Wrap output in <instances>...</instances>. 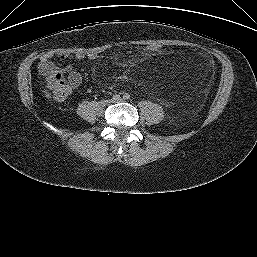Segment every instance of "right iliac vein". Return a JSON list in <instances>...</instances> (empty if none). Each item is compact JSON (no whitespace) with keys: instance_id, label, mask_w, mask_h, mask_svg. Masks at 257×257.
I'll use <instances>...</instances> for the list:
<instances>
[{"instance_id":"63e3f726","label":"right iliac vein","mask_w":257,"mask_h":257,"mask_svg":"<svg viewBox=\"0 0 257 257\" xmlns=\"http://www.w3.org/2000/svg\"><path fill=\"white\" fill-rule=\"evenodd\" d=\"M112 102H113V100H106V101H104L105 104L112 103Z\"/></svg>"}]
</instances>
